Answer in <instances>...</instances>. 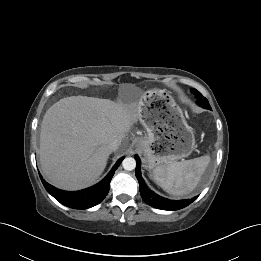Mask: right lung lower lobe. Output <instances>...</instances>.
Instances as JSON below:
<instances>
[{
  "mask_svg": "<svg viewBox=\"0 0 261 261\" xmlns=\"http://www.w3.org/2000/svg\"><path fill=\"white\" fill-rule=\"evenodd\" d=\"M124 157L120 158L117 163L114 165L112 170L109 172V174L98 184L81 190V191H63L55 188L54 186L48 184L40 175V178L42 180V183L45 187V189L48 191L49 194H51L56 200H58L61 204L68 206L70 208L75 209H86L93 207L97 204H99L101 201L104 200L106 195L109 192L110 188V181L122 162Z\"/></svg>",
  "mask_w": 261,
  "mask_h": 261,
  "instance_id": "obj_1",
  "label": "right lung lower lobe"
}]
</instances>
